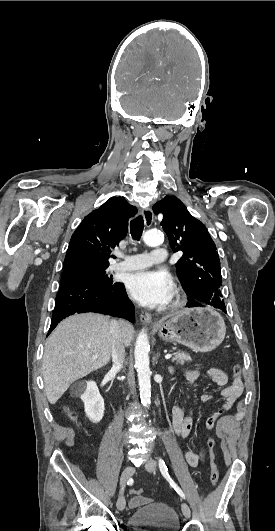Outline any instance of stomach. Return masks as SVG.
Returning a JSON list of instances; mask_svg holds the SVG:
<instances>
[{
  "label": "stomach",
  "instance_id": "1",
  "mask_svg": "<svg viewBox=\"0 0 275 531\" xmlns=\"http://www.w3.org/2000/svg\"><path fill=\"white\" fill-rule=\"evenodd\" d=\"M156 331L166 343H180L196 353H210L224 341L225 323L214 309H184L170 319L158 321Z\"/></svg>",
  "mask_w": 275,
  "mask_h": 531
}]
</instances>
